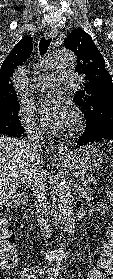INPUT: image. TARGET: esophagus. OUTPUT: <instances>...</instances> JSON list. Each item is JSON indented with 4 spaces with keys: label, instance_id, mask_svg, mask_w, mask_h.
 <instances>
[{
    "label": "esophagus",
    "instance_id": "obj_1",
    "mask_svg": "<svg viewBox=\"0 0 113 279\" xmlns=\"http://www.w3.org/2000/svg\"><path fill=\"white\" fill-rule=\"evenodd\" d=\"M57 35V31L56 29H49V31L46 32V37L48 39L50 38H55ZM68 146L67 145H64V144H60L58 147H57V153L59 156H66L68 154Z\"/></svg>",
    "mask_w": 113,
    "mask_h": 279
}]
</instances>
